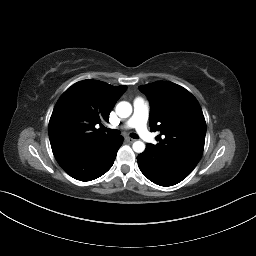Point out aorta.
<instances>
[{"label": "aorta", "mask_w": 256, "mask_h": 256, "mask_svg": "<svg viewBox=\"0 0 256 256\" xmlns=\"http://www.w3.org/2000/svg\"><path fill=\"white\" fill-rule=\"evenodd\" d=\"M116 113L120 118H127L132 113V106L129 102L121 101L116 106ZM136 153H142L145 150V144L142 141H135L132 145Z\"/></svg>", "instance_id": "1"}]
</instances>
